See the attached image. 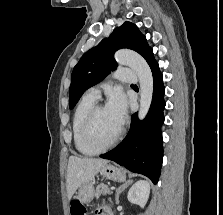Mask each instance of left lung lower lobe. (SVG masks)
I'll use <instances>...</instances> for the list:
<instances>
[{
	"label": "left lung lower lobe",
	"mask_w": 223,
	"mask_h": 215,
	"mask_svg": "<svg viewBox=\"0 0 223 215\" xmlns=\"http://www.w3.org/2000/svg\"><path fill=\"white\" fill-rule=\"evenodd\" d=\"M153 98L146 118L139 122L137 113L131 116V127L124 140L113 150L100 155L128 170L141 173L157 184L163 161L161 126L164 122V86L158 63L151 66Z\"/></svg>",
	"instance_id": "1"
}]
</instances>
